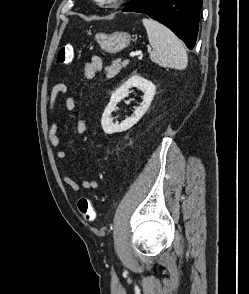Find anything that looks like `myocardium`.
Returning a JSON list of instances; mask_svg holds the SVG:
<instances>
[{"mask_svg": "<svg viewBox=\"0 0 249 294\" xmlns=\"http://www.w3.org/2000/svg\"><path fill=\"white\" fill-rule=\"evenodd\" d=\"M98 6L103 8H114L120 6L125 0H107V1H99L93 0Z\"/></svg>", "mask_w": 249, "mask_h": 294, "instance_id": "f54148a6", "label": "myocardium"}]
</instances>
